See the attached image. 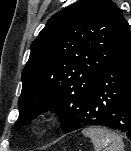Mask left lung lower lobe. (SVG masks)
Segmentation results:
<instances>
[{"label": "left lung lower lobe", "mask_w": 131, "mask_h": 151, "mask_svg": "<svg viewBox=\"0 0 131 151\" xmlns=\"http://www.w3.org/2000/svg\"><path fill=\"white\" fill-rule=\"evenodd\" d=\"M90 125L123 132L131 140V49L102 71L67 132Z\"/></svg>", "instance_id": "obj_1"}]
</instances>
